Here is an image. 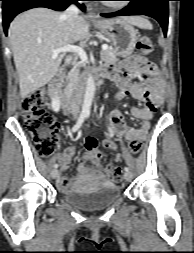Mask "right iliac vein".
Returning <instances> with one entry per match:
<instances>
[{"mask_svg": "<svg viewBox=\"0 0 194 253\" xmlns=\"http://www.w3.org/2000/svg\"><path fill=\"white\" fill-rule=\"evenodd\" d=\"M57 176H58V170L57 169H53L52 172H51V177L53 179H55Z\"/></svg>", "mask_w": 194, "mask_h": 253, "instance_id": "1", "label": "right iliac vein"}]
</instances>
